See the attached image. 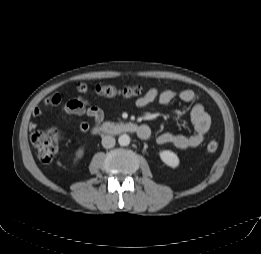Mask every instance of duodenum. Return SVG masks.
I'll list each match as a JSON object with an SVG mask.
<instances>
[{"mask_svg": "<svg viewBox=\"0 0 261 254\" xmlns=\"http://www.w3.org/2000/svg\"><path fill=\"white\" fill-rule=\"evenodd\" d=\"M94 134H130L139 133L142 127L136 123H104L93 128Z\"/></svg>", "mask_w": 261, "mask_h": 254, "instance_id": "obj_1", "label": "duodenum"}]
</instances>
